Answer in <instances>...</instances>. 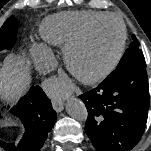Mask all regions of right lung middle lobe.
<instances>
[{"label":"right lung middle lobe","instance_id":"1","mask_svg":"<svg viewBox=\"0 0 151 151\" xmlns=\"http://www.w3.org/2000/svg\"><path fill=\"white\" fill-rule=\"evenodd\" d=\"M17 20L10 16L0 29V51L11 48L15 43L17 33Z\"/></svg>","mask_w":151,"mask_h":151}]
</instances>
